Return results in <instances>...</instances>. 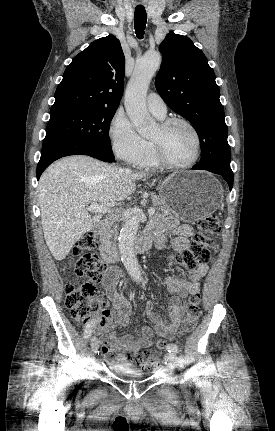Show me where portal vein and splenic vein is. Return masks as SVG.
Returning a JSON list of instances; mask_svg holds the SVG:
<instances>
[{
  "mask_svg": "<svg viewBox=\"0 0 275 431\" xmlns=\"http://www.w3.org/2000/svg\"><path fill=\"white\" fill-rule=\"evenodd\" d=\"M87 210L89 212H95V213H110L111 210L107 206L99 205L98 203H92L87 207ZM148 213L150 216H152L155 213V209L151 208L148 210Z\"/></svg>",
  "mask_w": 275,
  "mask_h": 431,
  "instance_id": "1",
  "label": "portal vein and splenic vein"
}]
</instances>
